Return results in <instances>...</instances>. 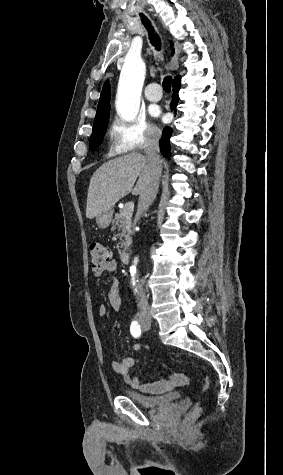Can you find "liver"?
<instances>
[{
    "instance_id": "1",
    "label": "liver",
    "mask_w": 283,
    "mask_h": 475,
    "mask_svg": "<svg viewBox=\"0 0 283 475\" xmlns=\"http://www.w3.org/2000/svg\"><path fill=\"white\" fill-rule=\"evenodd\" d=\"M145 156L132 152L109 160L94 172L87 194L86 218L93 220L103 210H111L127 194H144L149 178ZM139 180L132 190L137 178Z\"/></svg>"
}]
</instances>
